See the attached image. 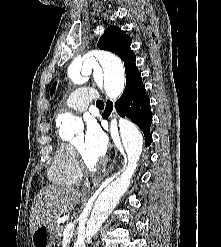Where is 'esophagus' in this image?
<instances>
[{"instance_id":"1","label":"esophagus","mask_w":221,"mask_h":247,"mask_svg":"<svg viewBox=\"0 0 221 247\" xmlns=\"http://www.w3.org/2000/svg\"><path fill=\"white\" fill-rule=\"evenodd\" d=\"M113 167H114V163H112L109 166V168L105 172H103L100 176H98L97 178H94L91 182H89L83 188V192L84 193H87V192H90L93 189H95L100 184V182L103 180V178L111 172V170L113 169Z\"/></svg>"}]
</instances>
